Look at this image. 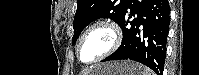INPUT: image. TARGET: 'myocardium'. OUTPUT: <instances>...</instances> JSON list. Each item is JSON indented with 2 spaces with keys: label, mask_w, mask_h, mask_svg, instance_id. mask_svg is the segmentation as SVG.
Masks as SVG:
<instances>
[{
  "label": "myocardium",
  "mask_w": 199,
  "mask_h": 75,
  "mask_svg": "<svg viewBox=\"0 0 199 75\" xmlns=\"http://www.w3.org/2000/svg\"><path fill=\"white\" fill-rule=\"evenodd\" d=\"M95 29H105L108 32H110L111 39H112L111 44H110L109 48L106 51H104L101 55H99L97 58H95L89 62H84V61H82L81 56H80L81 45H82L83 40L86 38V36L91 31H93ZM121 41H122V32H121V29L118 26V24L111 19H99V20L93 22L92 24H90L87 27V29L80 36L77 46H76L77 59L82 64H86V65L95 64L97 62H100L103 59H105L106 57H108L109 55H111L112 53H114L119 48Z\"/></svg>",
  "instance_id": "obj_1"
}]
</instances>
